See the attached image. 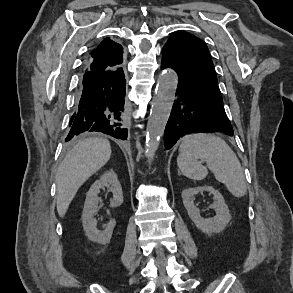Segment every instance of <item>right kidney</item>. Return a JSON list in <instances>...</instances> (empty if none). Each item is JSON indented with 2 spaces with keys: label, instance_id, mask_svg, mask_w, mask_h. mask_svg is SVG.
I'll return each mask as SVG.
<instances>
[{
  "label": "right kidney",
  "instance_id": "1",
  "mask_svg": "<svg viewBox=\"0 0 293 293\" xmlns=\"http://www.w3.org/2000/svg\"><path fill=\"white\" fill-rule=\"evenodd\" d=\"M108 186H111V191L113 193V198L110 201V207L115 208L123 203L121 184L118 181L115 172L109 171L104 173L99 180L92 184L87 193L82 213V223L86 235L91 241L99 244H107L110 242L113 229L116 225V221L111 219L104 231L101 232L96 228L97 222L94 218V214L97 211V205L100 200L98 193L100 192V189Z\"/></svg>",
  "mask_w": 293,
  "mask_h": 293
}]
</instances>
